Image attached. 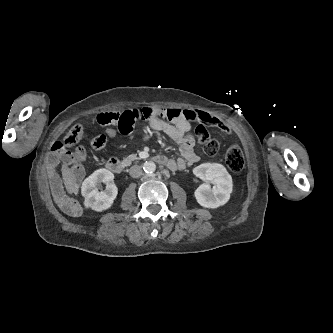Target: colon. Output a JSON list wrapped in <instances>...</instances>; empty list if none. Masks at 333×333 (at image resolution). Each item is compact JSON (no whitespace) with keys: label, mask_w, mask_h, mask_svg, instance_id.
I'll use <instances>...</instances> for the list:
<instances>
[{"label":"colon","mask_w":333,"mask_h":333,"mask_svg":"<svg viewBox=\"0 0 333 333\" xmlns=\"http://www.w3.org/2000/svg\"><path fill=\"white\" fill-rule=\"evenodd\" d=\"M134 116L138 120H143L147 116V111L143 107H138L134 111ZM97 122L102 125H113L119 130L129 127V114L125 112H103L97 116ZM84 132L81 124H76L70 128L62 140L56 141L52 146L55 155H62L67 148L77 145ZM198 142L203 146V151L208 156H213L219 151V143L213 139L204 125H198L195 129ZM107 138L105 135L95 137L90 146L93 150H100L106 146ZM227 167L234 173H239L245 166L244 155L238 145H231L225 153Z\"/></svg>","instance_id":"1"}]
</instances>
